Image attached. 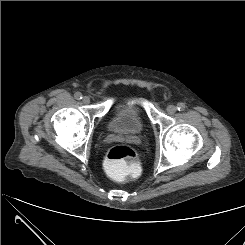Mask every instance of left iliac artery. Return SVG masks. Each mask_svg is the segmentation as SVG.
I'll return each mask as SVG.
<instances>
[{
  "label": "left iliac artery",
  "instance_id": "1",
  "mask_svg": "<svg viewBox=\"0 0 245 245\" xmlns=\"http://www.w3.org/2000/svg\"><path fill=\"white\" fill-rule=\"evenodd\" d=\"M185 108H186V106H185V104H184V103H178V105H177V109H178L179 111H184V110H185Z\"/></svg>",
  "mask_w": 245,
  "mask_h": 245
}]
</instances>
